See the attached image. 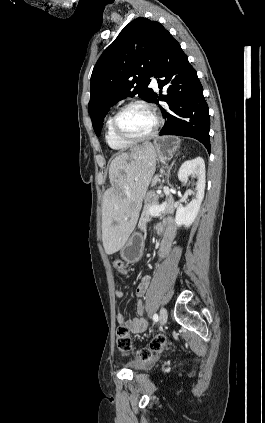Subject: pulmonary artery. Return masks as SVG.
<instances>
[{"mask_svg": "<svg viewBox=\"0 0 265 423\" xmlns=\"http://www.w3.org/2000/svg\"><path fill=\"white\" fill-rule=\"evenodd\" d=\"M151 86H152V88H153V89H155V90H157V89H158V84H157V81H156L155 79H153V80H152V82H151Z\"/></svg>", "mask_w": 265, "mask_h": 423, "instance_id": "obj_1", "label": "pulmonary artery"}]
</instances>
